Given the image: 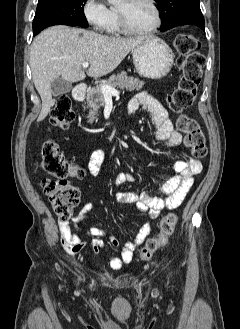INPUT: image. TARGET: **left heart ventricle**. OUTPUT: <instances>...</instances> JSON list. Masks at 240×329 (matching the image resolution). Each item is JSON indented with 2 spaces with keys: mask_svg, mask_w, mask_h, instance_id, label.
<instances>
[{
  "mask_svg": "<svg viewBox=\"0 0 240 329\" xmlns=\"http://www.w3.org/2000/svg\"><path fill=\"white\" fill-rule=\"evenodd\" d=\"M118 8L124 12L128 25L134 30L146 29L155 21L154 10L147 0H122Z\"/></svg>",
  "mask_w": 240,
  "mask_h": 329,
  "instance_id": "1",
  "label": "left heart ventricle"
}]
</instances>
